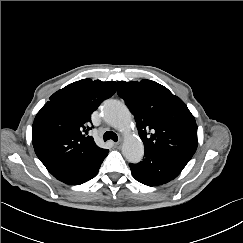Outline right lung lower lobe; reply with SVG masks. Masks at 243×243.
<instances>
[{
  "instance_id": "right-lung-lower-lobe-1",
  "label": "right lung lower lobe",
  "mask_w": 243,
  "mask_h": 243,
  "mask_svg": "<svg viewBox=\"0 0 243 243\" xmlns=\"http://www.w3.org/2000/svg\"><path fill=\"white\" fill-rule=\"evenodd\" d=\"M108 154V150L93 158L76 160L59 166L49 172L58 180L69 184L79 185L95 177Z\"/></svg>"
}]
</instances>
